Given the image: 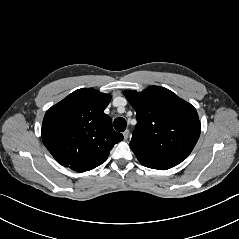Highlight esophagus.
<instances>
[{
    "label": "esophagus",
    "instance_id": "obj_1",
    "mask_svg": "<svg viewBox=\"0 0 239 239\" xmlns=\"http://www.w3.org/2000/svg\"><path fill=\"white\" fill-rule=\"evenodd\" d=\"M123 137H124L125 140L128 139V137H129V130L128 129L123 132Z\"/></svg>",
    "mask_w": 239,
    "mask_h": 239
}]
</instances>
